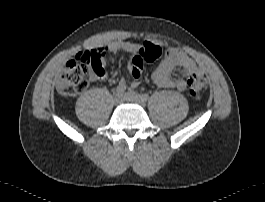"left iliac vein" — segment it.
<instances>
[{
    "label": "left iliac vein",
    "mask_w": 265,
    "mask_h": 202,
    "mask_svg": "<svg viewBox=\"0 0 265 202\" xmlns=\"http://www.w3.org/2000/svg\"><path fill=\"white\" fill-rule=\"evenodd\" d=\"M125 97L126 100L130 103H135L142 107L145 106V102L142 100L141 96H139L136 92L129 90L126 92Z\"/></svg>",
    "instance_id": "obj_1"
}]
</instances>
